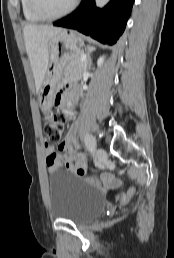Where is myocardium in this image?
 Returning a JSON list of instances; mask_svg holds the SVG:
<instances>
[{
  "mask_svg": "<svg viewBox=\"0 0 174 258\" xmlns=\"http://www.w3.org/2000/svg\"><path fill=\"white\" fill-rule=\"evenodd\" d=\"M79 0H73L72 3L63 11L57 14H49L45 10L42 9L40 6L39 0H30V6L34 13L38 15L43 20H55L62 18L68 14H70L77 6H78Z\"/></svg>",
  "mask_w": 174,
  "mask_h": 258,
  "instance_id": "1",
  "label": "myocardium"
}]
</instances>
